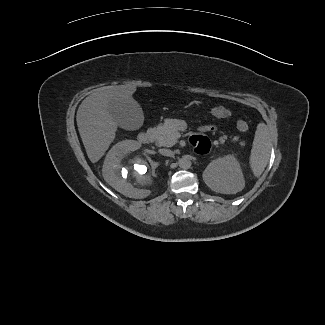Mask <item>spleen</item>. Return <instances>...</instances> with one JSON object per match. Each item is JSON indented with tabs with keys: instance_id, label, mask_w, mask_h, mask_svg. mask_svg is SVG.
I'll use <instances>...</instances> for the list:
<instances>
[{
	"instance_id": "3e777b00",
	"label": "spleen",
	"mask_w": 325,
	"mask_h": 325,
	"mask_svg": "<svg viewBox=\"0 0 325 325\" xmlns=\"http://www.w3.org/2000/svg\"><path fill=\"white\" fill-rule=\"evenodd\" d=\"M270 150L271 140L269 129L265 123L260 122L257 125L249 158L251 170L256 177H259L263 173L270 157Z\"/></svg>"
}]
</instances>
